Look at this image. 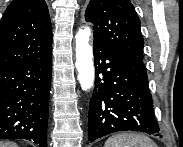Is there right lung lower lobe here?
Segmentation results:
<instances>
[{
	"label": "right lung lower lobe",
	"instance_id": "1",
	"mask_svg": "<svg viewBox=\"0 0 183 147\" xmlns=\"http://www.w3.org/2000/svg\"><path fill=\"white\" fill-rule=\"evenodd\" d=\"M52 50L0 72V139L47 147Z\"/></svg>",
	"mask_w": 183,
	"mask_h": 147
}]
</instances>
